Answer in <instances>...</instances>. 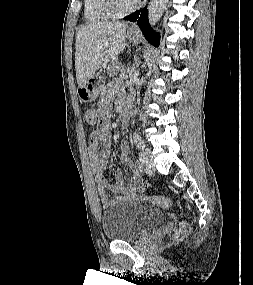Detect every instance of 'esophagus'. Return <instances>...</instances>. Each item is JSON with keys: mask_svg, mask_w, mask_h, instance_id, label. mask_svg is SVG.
<instances>
[{"mask_svg": "<svg viewBox=\"0 0 253 285\" xmlns=\"http://www.w3.org/2000/svg\"><path fill=\"white\" fill-rule=\"evenodd\" d=\"M131 29H132V30H136V29H137V26H136V25H132V26H131Z\"/></svg>", "mask_w": 253, "mask_h": 285, "instance_id": "obj_1", "label": "esophagus"}]
</instances>
